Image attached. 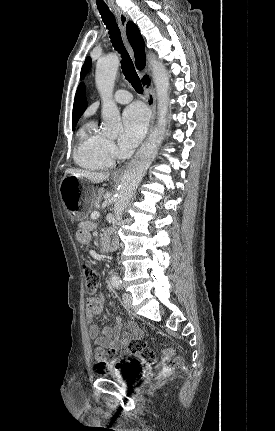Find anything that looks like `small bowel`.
<instances>
[{
    "mask_svg": "<svg viewBox=\"0 0 275 431\" xmlns=\"http://www.w3.org/2000/svg\"><path fill=\"white\" fill-rule=\"evenodd\" d=\"M91 225L89 223H83L80 225L77 232V240L86 244L90 241V230ZM106 309L105 301L102 296L89 298L86 305V319L89 324V335L94 345L99 349H125L127 344L132 340L139 341L142 337L141 329L135 323H129L127 325L128 332L122 333L123 324L121 320L116 317V322L113 327H105L99 329L94 323L95 317L100 315ZM125 354H131L128 351H124Z\"/></svg>",
    "mask_w": 275,
    "mask_h": 431,
    "instance_id": "c3829d8e",
    "label": "small bowel"
}]
</instances>
